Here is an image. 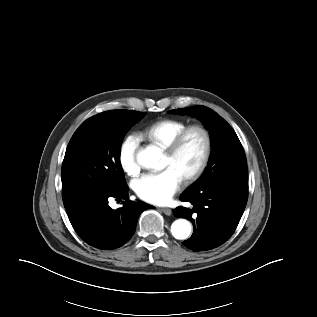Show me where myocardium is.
I'll use <instances>...</instances> for the list:
<instances>
[{"mask_svg": "<svg viewBox=\"0 0 317 317\" xmlns=\"http://www.w3.org/2000/svg\"><path fill=\"white\" fill-rule=\"evenodd\" d=\"M193 131H197L203 136L204 150L201 160L196 169L192 173L183 177V180L187 183L197 181L203 175L205 169L207 168L212 152V138L209 130L205 126L200 124L188 125L172 140V142L166 148V154L169 157H175L179 153L187 136Z\"/></svg>", "mask_w": 317, "mask_h": 317, "instance_id": "myocardium-1", "label": "myocardium"}]
</instances>
